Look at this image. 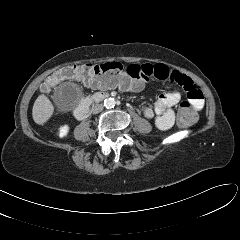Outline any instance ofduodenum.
I'll return each instance as SVG.
<instances>
[{"instance_id":"410a0bca","label":"duodenum","mask_w":240,"mask_h":240,"mask_svg":"<svg viewBox=\"0 0 240 240\" xmlns=\"http://www.w3.org/2000/svg\"><path fill=\"white\" fill-rule=\"evenodd\" d=\"M107 97L108 95L106 93H96L91 99L82 102L74 111L76 118L79 120L85 119L89 115L92 104L94 102H100Z\"/></svg>"}]
</instances>
